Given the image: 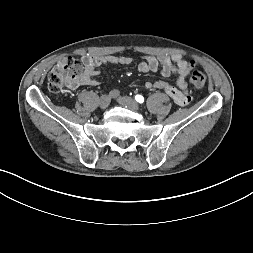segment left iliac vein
<instances>
[{
	"mask_svg": "<svg viewBox=\"0 0 253 253\" xmlns=\"http://www.w3.org/2000/svg\"><path fill=\"white\" fill-rule=\"evenodd\" d=\"M117 101L122 106H126L129 109L136 110V111L140 110V107H139L138 103L134 99H132L130 97H127V96L119 97L117 99Z\"/></svg>",
	"mask_w": 253,
	"mask_h": 253,
	"instance_id": "1",
	"label": "left iliac vein"
}]
</instances>
